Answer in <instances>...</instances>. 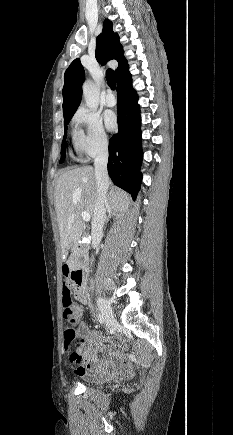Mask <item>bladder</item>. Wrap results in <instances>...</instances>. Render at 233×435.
Returning a JSON list of instances; mask_svg holds the SVG:
<instances>
[{
	"label": "bladder",
	"mask_w": 233,
	"mask_h": 435,
	"mask_svg": "<svg viewBox=\"0 0 233 435\" xmlns=\"http://www.w3.org/2000/svg\"><path fill=\"white\" fill-rule=\"evenodd\" d=\"M116 378L111 379L108 383H113V381H115Z\"/></svg>",
	"instance_id": "bladder-1"
}]
</instances>
